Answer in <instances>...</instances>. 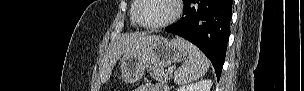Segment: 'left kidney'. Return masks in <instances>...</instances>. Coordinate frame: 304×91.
I'll use <instances>...</instances> for the list:
<instances>
[{
  "label": "left kidney",
  "instance_id": "left-kidney-1",
  "mask_svg": "<svg viewBox=\"0 0 304 91\" xmlns=\"http://www.w3.org/2000/svg\"><path fill=\"white\" fill-rule=\"evenodd\" d=\"M211 80H201L195 84L180 86L177 91H210Z\"/></svg>",
  "mask_w": 304,
  "mask_h": 91
}]
</instances>
